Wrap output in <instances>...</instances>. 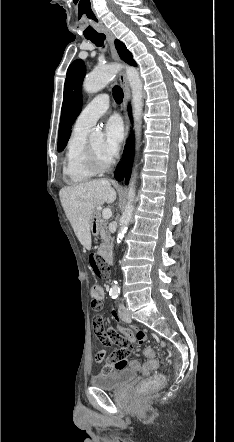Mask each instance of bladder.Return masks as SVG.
<instances>
[{
  "mask_svg": "<svg viewBox=\"0 0 234 442\" xmlns=\"http://www.w3.org/2000/svg\"><path fill=\"white\" fill-rule=\"evenodd\" d=\"M136 377V371L130 367L99 372L90 379L92 386L102 390H117L130 383Z\"/></svg>",
  "mask_w": 234,
  "mask_h": 442,
  "instance_id": "bladder-1",
  "label": "bladder"
}]
</instances>
